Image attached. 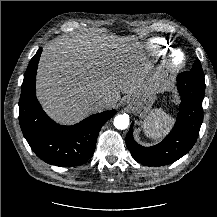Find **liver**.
<instances>
[{
  "instance_id": "liver-1",
  "label": "liver",
  "mask_w": 217,
  "mask_h": 217,
  "mask_svg": "<svg viewBox=\"0 0 217 217\" xmlns=\"http://www.w3.org/2000/svg\"><path fill=\"white\" fill-rule=\"evenodd\" d=\"M37 96L56 122L74 124L93 111V98L114 106L121 93H155L156 84L132 54L129 43L90 33L62 35L43 48L37 72Z\"/></svg>"
}]
</instances>
